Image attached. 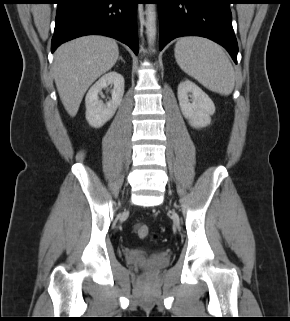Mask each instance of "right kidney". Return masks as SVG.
I'll list each match as a JSON object with an SVG mask.
<instances>
[{
    "label": "right kidney",
    "mask_w": 290,
    "mask_h": 321,
    "mask_svg": "<svg viewBox=\"0 0 290 321\" xmlns=\"http://www.w3.org/2000/svg\"><path fill=\"white\" fill-rule=\"evenodd\" d=\"M113 85L112 99L103 103L98 94ZM124 94V78L116 71L103 75L88 91L85 98L86 119L92 127L99 128L109 121L120 106Z\"/></svg>",
    "instance_id": "ca27d5eb"
}]
</instances>
